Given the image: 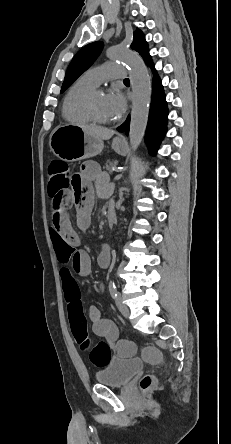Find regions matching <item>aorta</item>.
<instances>
[{
    "mask_svg": "<svg viewBox=\"0 0 231 444\" xmlns=\"http://www.w3.org/2000/svg\"><path fill=\"white\" fill-rule=\"evenodd\" d=\"M110 58L126 63L130 70V81L133 90L129 138L133 150L140 145L149 114L151 80L143 59L136 53L121 47L108 49Z\"/></svg>",
    "mask_w": 231,
    "mask_h": 444,
    "instance_id": "1",
    "label": "aorta"
}]
</instances>
